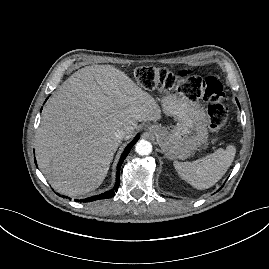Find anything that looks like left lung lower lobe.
<instances>
[{"label":"left lung lower lobe","mask_w":269,"mask_h":269,"mask_svg":"<svg viewBox=\"0 0 269 269\" xmlns=\"http://www.w3.org/2000/svg\"><path fill=\"white\" fill-rule=\"evenodd\" d=\"M237 101V103H238V105H239V102H238V100H236ZM239 107H240V105H239Z\"/></svg>","instance_id":"0a47b994"}]
</instances>
